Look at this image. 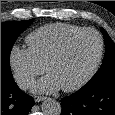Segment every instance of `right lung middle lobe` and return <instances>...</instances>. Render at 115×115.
Listing matches in <instances>:
<instances>
[{
    "label": "right lung middle lobe",
    "instance_id": "obj_1",
    "mask_svg": "<svg viewBox=\"0 0 115 115\" xmlns=\"http://www.w3.org/2000/svg\"><path fill=\"white\" fill-rule=\"evenodd\" d=\"M9 21L1 23V79H11L10 53L17 37L33 22Z\"/></svg>",
    "mask_w": 115,
    "mask_h": 115
}]
</instances>
